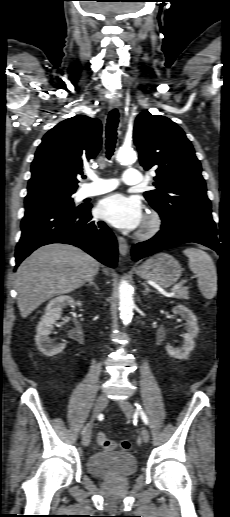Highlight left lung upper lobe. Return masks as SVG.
<instances>
[{
  "instance_id": "obj_1",
  "label": "left lung upper lobe",
  "mask_w": 230,
  "mask_h": 517,
  "mask_svg": "<svg viewBox=\"0 0 230 517\" xmlns=\"http://www.w3.org/2000/svg\"><path fill=\"white\" fill-rule=\"evenodd\" d=\"M133 138L145 170L156 169V190L144 197L160 214L171 218L195 208L210 209L201 165L183 130L161 115L141 112L135 121Z\"/></svg>"
}]
</instances>
